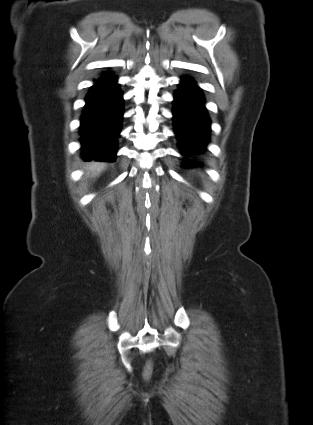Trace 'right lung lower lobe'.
Masks as SVG:
<instances>
[{
	"instance_id": "obj_1",
	"label": "right lung lower lobe",
	"mask_w": 313,
	"mask_h": 425,
	"mask_svg": "<svg viewBox=\"0 0 313 425\" xmlns=\"http://www.w3.org/2000/svg\"><path fill=\"white\" fill-rule=\"evenodd\" d=\"M112 73H102L90 88L81 116L83 159L113 162L123 115L122 92Z\"/></svg>"
}]
</instances>
